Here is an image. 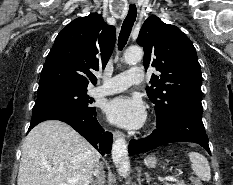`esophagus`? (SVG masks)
<instances>
[{"label":"esophagus","mask_w":233,"mask_h":185,"mask_svg":"<svg viewBox=\"0 0 233 185\" xmlns=\"http://www.w3.org/2000/svg\"><path fill=\"white\" fill-rule=\"evenodd\" d=\"M113 137H114V139L121 138V137H124V134L120 131H114Z\"/></svg>","instance_id":"obj_1"}]
</instances>
